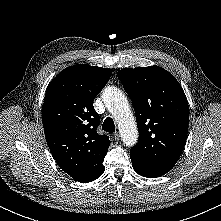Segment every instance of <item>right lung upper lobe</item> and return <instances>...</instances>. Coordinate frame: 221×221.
<instances>
[{"instance_id": "right-lung-upper-lobe-1", "label": "right lung upper lobe", "mask_w": 221, "mask_h": 221, "mask_svg": "<svg viewBox=\"0 0 221 221\" xmlns=\"http://www.w3.org/2000/svg\"><path fill=\"white\" fill-rule=\"evenodd\" d=\"M111 74V69L73 65L46 90L42 122L47 144L61 169L78 182H91L105 170L102 163L110 141L96 131L99 115L93 100Z\"/></svg>"}]
</instances>
